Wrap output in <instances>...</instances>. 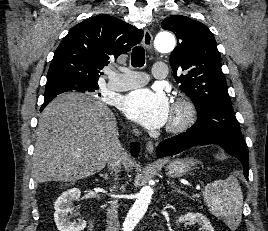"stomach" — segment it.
Here are the masks:
<instances>
[{"instance_id":"obj_1","label":"stomach","mask_w":268,"mask_h":231,"mask_svg":"<svg viewBox=\"0 0 268 231\" xmlns=\"http://www.w3.org/2000/svg\"><path fill=\"white\" fill-rule=\"evenodd\" d=\"M196 162L193 159H175L165 168L169 177H181L191 171Z\"/></svg>"}]
</instances>
